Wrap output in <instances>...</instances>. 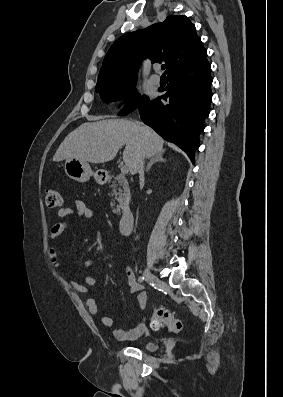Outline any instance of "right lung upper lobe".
I'll return each instance as SVG.
<instances>
[{
    "label": "right lung upper lobe",
    "instance_id": "1",
    "mask_svg": "<svg viewBox=\"0 0 283 397\" xmlns=\"http://www.w3.org/2000/svg\"><path fill=\"white\" fill-rule=\"evenodd\" d=\"M164 60L166 73L207 56L195 26L184 15L168 16L164 22L129 32L117 39L106 54L98 81L136 78L140 59Z\"/></svg>",
    "mask_w": 283,
    "mask_h": 397
}]
</instances>
